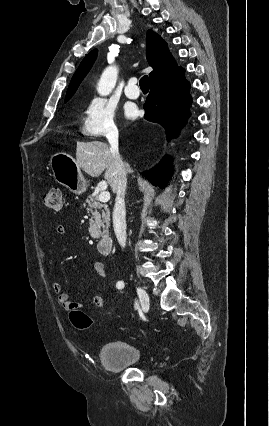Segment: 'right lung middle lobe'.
<instances>
[{"label":"right lung middle lobe","mask_w":269,"mask_h":426,"mask_svg":"<svg viewBox=\"0 0 269 426\" xmlns=\"http://www.w3.org/2000/svg\"><path fill=\"white\" fill-rule=\"evenodd\" d=\"M70 99V97L66 98L65 101H68Z\"/></svg>","instance_id":"obj_1"}]
</instances>
